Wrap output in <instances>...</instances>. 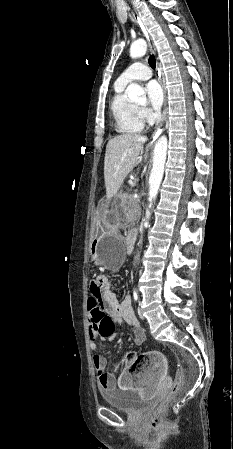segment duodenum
Segmentation results:
<instances>
[{"label":"duodenum","mask_w":233,"mask_h":449,"mask_svg":"<svg viewBox=\"0 0 233 449\" xmlns=\"http://www.w3.org/2000/svg\"><path fill=\"white\" fill-rule=\"evenodd\" d=\"M136 236H137L136 230H132L127 239V251L128 252H131L133 250L134 245H135Z\"/></svg>","instance_id":"obj_1"}]
</instances>
